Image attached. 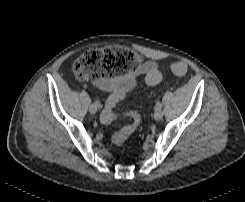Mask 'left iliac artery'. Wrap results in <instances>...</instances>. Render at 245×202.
<instances>
[{
    "mask_svg": "<svg viewBox=\"0 0 245 202\" xmlns=\"http://www.w3.org/2000/svg\"><path fill=\"white\" fill-rule=\"evenodd\" d=\"M155 108L156 109H161L162 108V104L160 102H156Z\"/></svg>",
    "mask_w": 245,
    "mask_h": 202,
    "instance_id": "left-iliac-artery-1",
    "label": "left iliac artery"
}]
</instances>
